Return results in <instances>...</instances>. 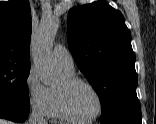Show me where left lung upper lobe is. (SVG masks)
<instances>
[{"instance_id":"left-lung-upper-lobe-1","label":"left lung upper lobe","mask_w":156,"mask_h":124,"mask_svg":"<svg viewBox=\"0 0 156 124\" xmlns=\"http://www.w3.org/2000/svg\"><path fill=\"white\" fill-rule=\"evenodd\" d=\"M69 49L101 101V123L141 122L131 33L105 0L68 13Z\"/></svg>"}]
</instances>
